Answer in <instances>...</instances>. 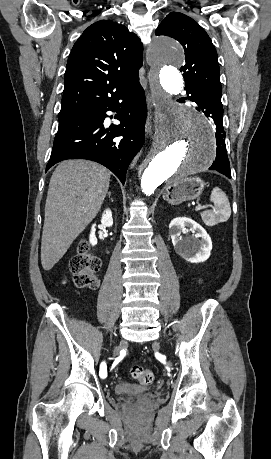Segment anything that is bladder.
I'll return each mask as SVG.
<instances>
[{
    "mask_svg": "<svg viewBox=\"0 0 271 459\" xmlns=\"http://www.w3.org/2000/svg\"><path fill=\"white\" fill-rule=\"evenodd\" d=\"M134 392L151 393V387L149 385L143 386L128 381H120L115 386V393L117 395H124Z\"/></svg>",
    "mask_w": 271,
    "mask_h": 459,
    "instance_id": "obj_1",
    "label": "bladder"
}]
</instances>
